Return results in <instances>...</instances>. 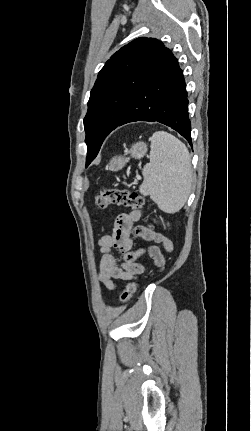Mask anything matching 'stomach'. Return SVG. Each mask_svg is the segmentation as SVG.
I'll list each match as a JSON object with an SVG mask.
<instances>
[{
  "label": "stomach",
  "instance_id": "stomach-1",
  "mask_svg": "<svg viewBox=\"0 0 251 431\" xmlns=\"http://www.w3.org/2000/svg\"><path fill=\"white\" fill-rule=\"evenodd\" d=\"M147 152V145L144 142H138L134 144L129 150V154L132 158L140 159ZM129 161L128 157L116 156L113 157L109 163V170L118 171L122 169L125 164Z\"/></svg>",
  "mask_w": 251,
  "mask_h": 431
}]
</instances>
